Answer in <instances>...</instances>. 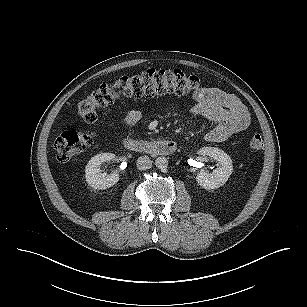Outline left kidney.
<instances>
[{
  "label": "left kidney",
  "instance_id": "1",
  "mask_svg": "<svg viewBox=\"0 0 307 307\" xmlns=\"http://www.w3.org/2000/svg\"><path fill=\"white\" fill-rule=\"evenodd\" d=\"M200 155H207L215 159L217 168L211 173L200 172L196 176L198 184L205 189H217L224 185L233 171L232 160L229 155L218 148L203 147L198 151Z\"/></svg>",
  "mask_w": 307,
  "mask_h": 307
}]
</instances>
